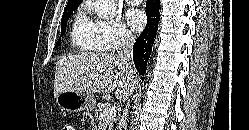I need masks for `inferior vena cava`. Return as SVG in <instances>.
I'll list each match as a JSON object with an SVG mask.
<instances>
[{"label": "inferior vena cava", "instance_id": "inferior-vena-cava-1", "mask_svg": "<svg viewBox=\"0 0 249 130\" xmlns=\"http://www.w3.org/2000/svg\"><path fill=\"white\" fill-rule=\"evenodd\" d=\"M135 42V37L129 33H124L121 39V45L119 51L117 52V61L125 66L129 74L136 72L133 63V45ZM128 106L124 110L122 119L120 123L124 125L126 123V117L128 114Z\"/></svg>", "mask_w": 249, "mask_h": 130}]
</instances>
